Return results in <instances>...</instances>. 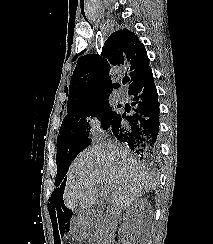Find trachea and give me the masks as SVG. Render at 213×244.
I'll list each match as a JSON object with an SVG mask.
<instances>
[{"instance_id": "obj_1", "label": "trachea", "mask_w": 213, "mask_h": 244, "mask_svg": "<svg viewBox=\"0 0 213 244\" xmlns=\"http://www.w3.org/2000/svg\"><path fill=\"white\" fill-rule=\"evenodd\" d=\"M129 81V78H124L123 79V84L127 83Z\"/></svg>"}]
</instances>
